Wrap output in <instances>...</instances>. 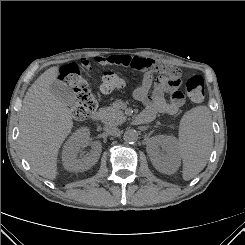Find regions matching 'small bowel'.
<instances>
[{
	"label": "small bowel",
	"mask_w": 245,
	"mask_h": 245,
	"mask_svg": "<svg viewBox=\"0 0 245 245\" xmlns=\"http://www.w3.org/2000/svg\"><path fill=\"white\" fill-rule=\"evenodd\" d=\"M84 66H89V61L82 60ZM95 62L100 65H119L131 68L143 73L134 90V97L144 105L141 114L147 116L150 121L157 113L175 115L185 103V97L179 90L180 81L161 76L155 82L153 89L152 74L157 71V62L150 58L117 54L109 56H97ZM166 95L169 99H166Z\"/></svg>",
	"instance_id": "c3829d8e"
}]
</instances>
